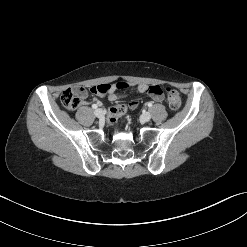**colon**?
Masks as SVG:
<instances>
[{"label":"colon","mask_w":247,"mask_h":247,"mask_svg":"<svg viewBox=\"0 0 247 247\" xmlns=\"http://www.w3.org/2000/svg\"><path fill=\"white\" fill-rule=\"evenodd\" d=\"M109 84H100L95 85L90 88V92L93 94L103 95L106 94L110 89ZM166 91V94H165ZM148 94L152 101L156 103H162L167 99V104L169 108L173 111H176L181 106V97L177 90L171 87H160L154 85L150 87ZM86 90L83 87H73L63 91L61 95V102L65 108L68 110H75L78 108L83 99L85 98ZM141 99L131 100L130 102H125V104H117L112 108L108 115V122L114 124L118 117H124L127 112L133 111L141 106Z\"/></svg>","instance_id":"1"}]
</instances>
